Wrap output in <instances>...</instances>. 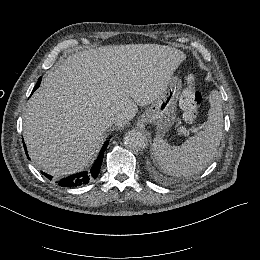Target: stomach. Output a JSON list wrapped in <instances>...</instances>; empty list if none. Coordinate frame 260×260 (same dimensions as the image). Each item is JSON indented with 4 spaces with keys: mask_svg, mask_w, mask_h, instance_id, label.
<instances>
[{
    "mask_svg": "<svg viewBox=\"0 0 260 260\" xmlns=\"http://www.w3.org/2000/svg\"><path fill=\"white\" fill-rule=\"evenodd\" d=\"M181 88V79L178 76L171 77L162 95L146 109L140 121L156 125L158 135L168 132L176 118L177 100Z\"/></svg>",
    "mask_w": 260,
    "mask_h": 260,
    "instance_id": "stomach-1",
    "label": "stomach"
}]
</instances>
